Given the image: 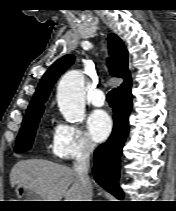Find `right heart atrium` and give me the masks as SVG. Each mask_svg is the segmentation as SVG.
<instances>
[{
  "mask_svg": "<svg viewBox=\"0 0 176 211\" xmlns=\"http://www.w3.org/2000/svg\"><path fill=\"white\" fill-rule=\"evenodd\" d=\"M95 145L89 135L79 126L59 122L53 134L51 151L62 160H73L90 155Z\"/></svg>",
  "mask_w": 176,
  "mask_h": 211,
  "instance_id": "1",
  "label": "right heart atrium"
}]
</instances>
